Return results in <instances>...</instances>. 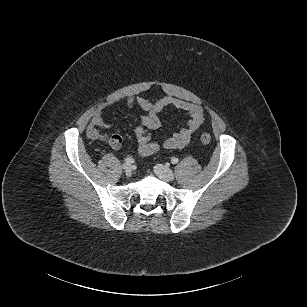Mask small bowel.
Segmentation results:
<instances>
[{
  "label": "small bowel",
  "instance_id": "c3829d8e",
  "mask_svg": "<svg viewBox=\"0 0 307 307\" xmlns=\"http://www.w3.org/2000/svg\"><path fill=\"white\" fill-rule=\"evenodd\" d=\"M126 105L129 108L138 106L143 112L140 116V124L134 130L138 144L137 151L142 156L153 155L159 150V144L152 141L151 135L146 129L157 130L160 128L159 113L165 108H174L189 116L184 127L163 141V147L166 149L186 147L204 121V113L199 105L173 97H163L155 103L143 97H129L126 100ZM101 128L108 129L109 126L103 123L101 110H97L88 126V137L92 140H107L108 136L100 132Z\"/></svg>",
  "mask_w": 307,
  "mask_h": 307
}]
</instances>
